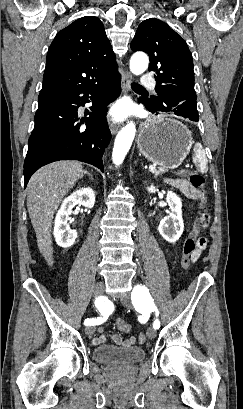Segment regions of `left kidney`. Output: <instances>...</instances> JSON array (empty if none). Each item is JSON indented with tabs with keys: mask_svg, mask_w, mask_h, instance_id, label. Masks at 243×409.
I'll return each mask as SVG.
<instances>
[{
	"mask_svg": "<svg viewBox=\"0 0 243 409\" xmlns=\"http://www.w3.org/2000/svg\"><path fill=\"white\" fill-rule=\"evenodd\" d=\"M147 190L150 193H154L156 188L151 185L147 187ZM166 201L171 209V213L160 221L158 230L166 241L174 243L181 237L184 230L182 201L172 191L167 192Z\"/></svg>",
	"mask_w": 243,
	"mask_h": 409,
	"instance_id": "obj_1",
	"label": "left kidney"
}]
</instances>
